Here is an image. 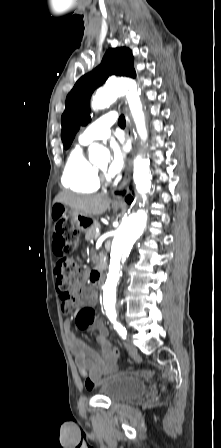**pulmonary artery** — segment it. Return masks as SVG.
Segmentation results:
<instances>
[{"instance_id":"1","label":"pulmonary artery","mask_w":221,"mask_h":448,"mask_svg":"<svg viewBox=\"0 0 221 448\" xmlns=\"http://www.w3.org/2000/svg\"><path fill=\"white\" fill-rule=\"evenodd\" d=\"M117 114L111 111L89 124L81 133L79 142L87 145L98 139H105L110 136V126L116 121Z\"/></svg>"}]
</instances>
